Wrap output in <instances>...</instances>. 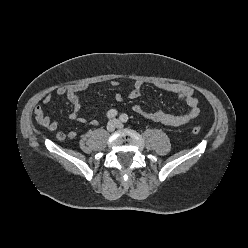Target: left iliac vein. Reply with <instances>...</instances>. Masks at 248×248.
<instances>
[{"mask_svg": "<svg viewBox=\"0 0 248 248\" xmlns=\"http://www.w3.org/2000/svg\"><path fill=\"white\" fill-rule=\"evenodd\" d=\"M116 122H117V127L122 128V124L120 122H118V121H116Z\"/></svg>", "mask_w": 248, "mask_h": 248, "instance_id": "4c4485c4", "label": "left iliac vein"}]
</instances>
